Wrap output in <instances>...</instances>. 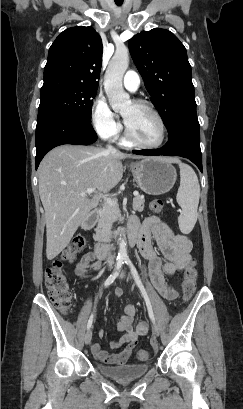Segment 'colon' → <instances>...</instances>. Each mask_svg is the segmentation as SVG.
I'll return each instance as SVG.
<instances>
[{
	"instance_id": "colon-1",
	"label": "colon",
	"mask_w": 243,
	"mask_h": 409,
	"mask_svg": "<svg viewBox=\"0 0 243 409\" xmlns=\"http://www.w3.org/2000/svg\"><path fill=\"white\" fill-rule=\"evenodd\" d=\"M163 208V201L159 199L152 200L149 204V209L154 214L162 213ZM85 244L86 238L84 236L78 235L74 237L64 251L63 257L72 262L76 255L84 248ZM183 276V300L187 302L192 297L196 288L198 274L195 260H192L185 267ZM44 278L48 295L54 306L64 313L69 312L73 306V297L60 260H54L45 268ZM137 358L141 361H146L150 358V352L146 349H141L137 354Z\"/></svg>"
}]
</instances>
